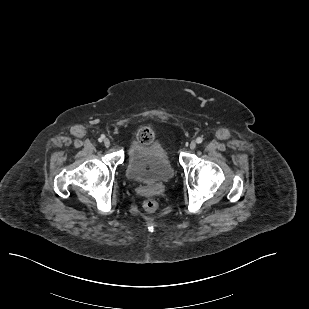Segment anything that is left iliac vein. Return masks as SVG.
I'll list each match as a JSON object with an SVG mask.
<instances>
[{"label": "left iliac vein", "instance_id": "1", "mask_svg": "<svg viewBox=\"0 0 309 309\" xmlns=\"http://www.w3.org/2000/svg\"><path fill=\"white\" fill-rule=\"evenodd\" d=\"M196 142L195 141H192L191 143H190V149H195L196 148Z\"/></svg>", "mask_w": 309, "mask_h": 309}]
</instances>
